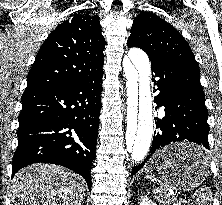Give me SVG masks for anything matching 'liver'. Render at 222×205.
I'll return each instance as SVG.
<instances>
[{"label":"liver","mask_w":222,"mask_h":205,"mask_svg":"<svg viewBox=\"0 0 222 205\" xmlns=\"http://www.w3.org/2000/svg\"><path fill=\"white\" fill-rule=\"evenodd\" d=\"M85 191L76 173L50 164L27 166L11 182L12 205H81Z\"/></svg>","instance_id":"6515ba94"}]
</instances>
